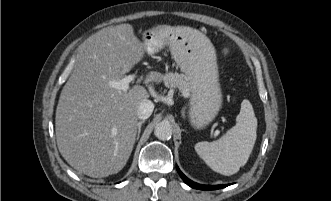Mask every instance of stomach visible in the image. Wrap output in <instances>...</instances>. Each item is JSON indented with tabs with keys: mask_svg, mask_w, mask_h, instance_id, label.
<instances>
[{
	"mask_svg": "<svg viewBox=\"0 0 331 201\" xmlns=\"http://www.w3.org/2000/svg\"><path fill=\"white\" fill-rule=\"evenodd\" d=\"M158 27L143 34L145 50L154 54L167 45L177 66L189 83L191 97L189 118L196 129L205 128L217 116L222 105L216 52L203 33L190 27H174L160 41Z\"/></svg>",
	"mask_w": 331,
	"mask_h": 201,
	"instance_id": "stomach-1",
	"label": "stomach"
}]
</instances>
